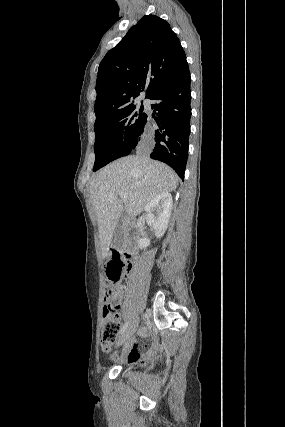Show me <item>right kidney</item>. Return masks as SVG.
<instances>
[{"mask_svg": "<svg viewBox=\"0 0 285 427\" xmlns=\"http://www.w3.org/2000/svg\"><path fill=\"white\" fill-rule=\"evenodd\" d=\"M172 196L169 192L156 195L145 207V219L147 224L154 230L157 238H161L169 223L172 210ZM150 245L148 238H140L138 246L145 249Z\"/></svg>", "mask_w": 285, "mask_h": 427, "instance_id": "ca27d5eb", "label": "right kidney"}]
</instances>
